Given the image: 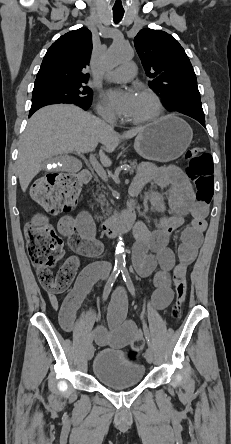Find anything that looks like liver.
<instances>
[{"label":"liver","mask_w":231,"mask_h":444,"mask_svg":"<svg viewBox=\"0 0 231 444\" xmlns=\"http://www.w3.org/2000/svg\"><path fill=\"white\" fill-rule=\"evenodd\" d=\"M144 128H134L120 136L104 121L75 105L55 104L39 109L19 141L17 173L22 191L54 155L92 152L101 143L100 161L110 166L112 162L105 152L112 153L121 139L133 138Z\"/></svg>","instance_id":"liver-1"}]
</instances>
